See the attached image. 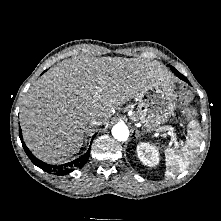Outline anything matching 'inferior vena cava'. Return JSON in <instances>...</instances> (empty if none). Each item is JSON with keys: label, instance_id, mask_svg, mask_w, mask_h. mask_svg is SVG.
Masks as SVG:
<instances>
[{"label": "inferior vena cava", "instance_id": "1", "mask_svg": "<svg viewBox=\"0 0 221 221\" xmlns=\"http://www.w3.org/2000/svg\"><path fill=\"white\" fill-rule=\"evenodd\" d=\"M89 124L92 125V126H99V125L102 124V121L99 118H92L89 121Z\"/></svg>", "mask_w": 221, "mask_h": 221}]
</instances>
